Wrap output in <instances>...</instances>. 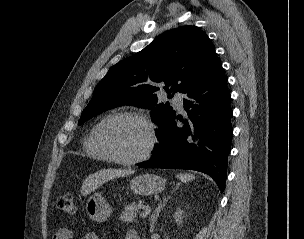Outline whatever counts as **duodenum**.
I'll list each match as a JSON object with an SVG mask.
<instances>
[{"label":"duodenum","instance_id":"1","mask_svg":"<svg viewBox=\"0 0 304 239\" xmlns=\"http://www.w3.org/2000/svg\"><path fill=\"white\" fill-rule=\"evenodd\" d=\"M133 239H140V237L137 234L136 236L133 237Z\"/></svg>","mask_w":304,"mask_h":239}]
</instances>
